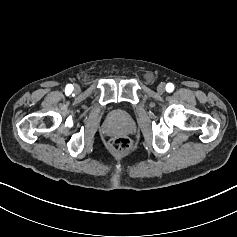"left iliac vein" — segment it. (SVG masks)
I'll use <instances>...</instances> for the list:
<instances>
[{
    "instance_id": "4c4485c4",
    "label": "left iliac vein",
    "mask_w": 237,
    "mask_h": 237,
    "mask_svg": "<svg viewBox=\"0 0 237 237\" xmlns=\"http://www.w3.org/2000/svg\"><path fill=\"white\" fill-rule=\"evenodd\" d=\"M157 91H158V93L163 94L165 92V85L163 83H160L157 86Z\"/></svg>"
}]
</instances>
